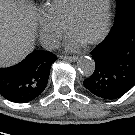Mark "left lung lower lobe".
Segmentation results:
<instances>
[{"instance_id": "obj_1", "label": "left lung lower lobe", "mask_w": 135, "mask_h": 135, "mask_svg": "<svg viewBox=\"0 0 135 135\" xmlns=\"http://www.w3.org/2000/svg\"><path fill=\"white\" fill-rule=\"evenodd\" d=\"M96 66L84 86L103 99H117L135 85V17L114 25L92 52Z\"/></svg>"}]
</instances>
